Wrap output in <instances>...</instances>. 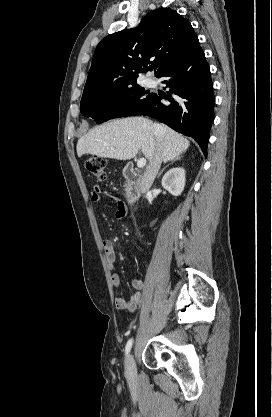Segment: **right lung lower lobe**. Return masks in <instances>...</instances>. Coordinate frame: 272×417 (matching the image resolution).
Wrapping results in <instances>:
<instances>
[{
    "label": "right lung lower lobe",
    "mask_w": 272,
    "mask_h": 417,
    "mask_svg": "<svg viewBox=\"0 0 272 417\" xmlns=\"http://www.w3.org/2000/svg\"><path fill=\"white\" fill-rule=\"evenodd\" d=\"M157 77L165 78L162 83L170 87L168 95L152 93L151 99L136 114L153 117L191 136L206 156L215 96L210 69L199 42ZM162 99L167 102H161Z\"/></svg>",
    "instance_id": "98d812e1"
}]
</instances>
